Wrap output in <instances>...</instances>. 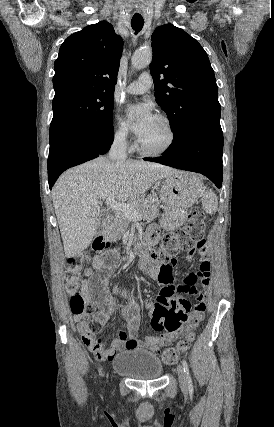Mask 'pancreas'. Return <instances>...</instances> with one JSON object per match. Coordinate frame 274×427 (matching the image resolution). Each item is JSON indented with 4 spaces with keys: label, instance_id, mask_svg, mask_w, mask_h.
I'll return each mask as SVG.
<instances>
[{
    "label": "pancreas",
    "instance_id": "pancreas-1",
    "mask_svg": "<svg viewBox=\"0 0 274 427\" xmlns=\"http://www.w3.org/2000/svg\"><path fill=\"white\" fill-rule=\"evenodd\" d=\"M142 214L143 219H155L159 215V200L157 196H148V198H138L136 202H131ZM129 223V217L124 215L123 212H116L114 219H107L104 225L103 235L105 239H119L120 235L125 233Z\"/></svg>",
    "mask_w": 274,
    "mask_h": 427
}]
</instances>
